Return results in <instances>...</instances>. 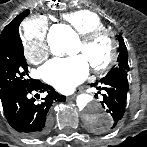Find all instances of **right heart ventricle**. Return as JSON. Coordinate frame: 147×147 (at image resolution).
Listing matches in <instances>:
<instances>
[{
    "instance_id": "obj_1",
    "label": "right heart ventricle",
    "mask_w": 147,
    "mask_h": 147,
    "mask_svg": "<svg viewBox=\"0 0 147 147\" xmlns=\"http://www.w3.org/2000/svg\"><path fill=\"white\" fill-rule=\"evenodd\" d=\"M63 19L79 34L84 35L94 29L104 28L98 14L90 10H79L63 15Z\"/></svg>"
}]
</instances>
